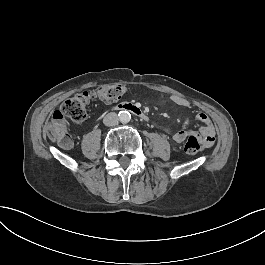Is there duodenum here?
Wrapping results in <instances>:
<instances>
[{
	"label": "duodenum",
	"mask_w": 265,
	"mask_h": 265,
	"mask_svg": "<svg viewBox=\"0 0 265 265\" xmlns=\"http://www.w3.org/2000/svg\"><path fill=\"white\" fill-rule=\"evenodd\" d=\"M118 111L121 110H126L130 113L135 114L136 116H138L139 118H141L144 121H149V116L148 114L139 106H137L136 104L133 103H121L118 107H117Z\"/></svg>",
	"instance_id": "410a0bca"
}]
</instances>
